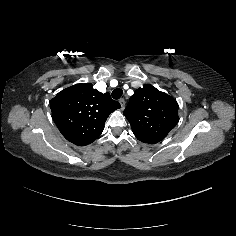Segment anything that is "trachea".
Segmentation results:
<instances>
[{"label": "trachea", "instance_id": "3493384b", "mask_svg": "<svg viewBox=\"0 0 236 236\" xmlns=\"http://www.w3.org/2000/svg\"><path fill=\"white\" fill-rule=\"evenodd\" d=\"M113 99L118 100L123 95V90L121 88H116L111 93Z\"/></svg>", "mask_w": 236, "mask_h": 236}]
</instances>
